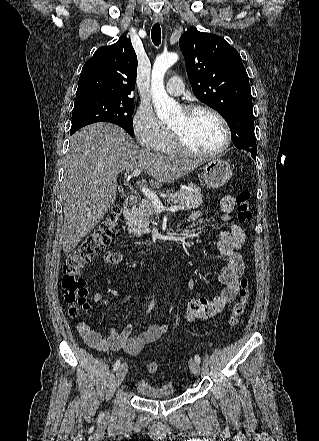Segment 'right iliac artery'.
Returning a JSON list of instances; mask_svg holds the SVG:
<instances>
[{"instance_id": "82829eb1", "label": "right iliac artery", "mask_w": 319, "mask_h": 441, "mask_svg": "<svg viewBox=\"0 0 319 441\" xmlns=\"http://www.w3.org/2000/svg\"><path fill=\"white\" fill-rule=\"evenodd\" d=\"M153 306H154V301L150 304L149 309H148V313L152 310ZM119 366H120V360H117L113 365V370L114 371L117 370L119 368Z\"/></svg>"}]
</instances>
